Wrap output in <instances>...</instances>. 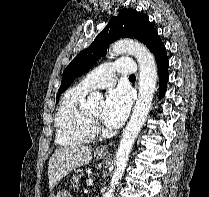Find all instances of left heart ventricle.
Listing matches in <instances>:
<instances>
[{
	"label": "left heart ventricle",
	"mask_w": 209,
	"mask_h": 197,
	"mask_svg": "<svg viewBox=\"0 0 209 197\" xmlns=\"http://www.w3.org/2000/svg\"><path fill=\"white\" fill-rule=\"evenodd\" d=\"M101 110H102V105H99V106H97V107H95V108L89 109V111H90L93 115H95V116H97V117L100 116Z\"/></svg>",
	"instance_id": "obj_1"
}]
</instances>
